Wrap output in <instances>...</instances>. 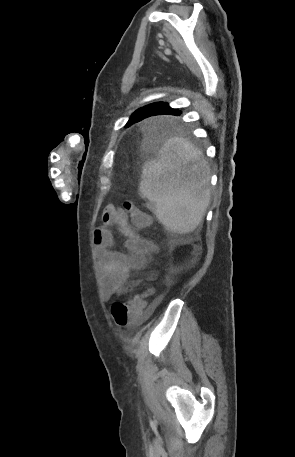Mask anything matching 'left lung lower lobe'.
I'll return each instance as SVG.
<instances>
[{"label":"left lung lower lobe","mask_w":295,"mask_h":457,"mask_svg":"<svg viewBox=\"0 0 295 457\" xmlns=\"http://www.w3.org/2000/svg\"><path fill=\"white\" fill-rule=\"evenodd\" d=\"M180 111L177 109H172L168 106V104L161 102L160 104L156 105L152 112L151 116L155 115H179Z\"/></svg>","instance_id":"0a47b994"}]
</instances>
